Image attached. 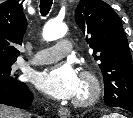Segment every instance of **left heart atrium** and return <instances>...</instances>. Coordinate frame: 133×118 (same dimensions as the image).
Returning <instances> with one entry per match:
<instances>
[{
    "label": "left heart atrium",
    "mask_w": 133,
    "mask_h": 118,
    "mask_svg": "<svg viewBox=\"0 0 133 118\" xmlns=\"http://www.w3.org/2000/svg\"><path fill=\"white\" fill-rule=\"evenodd\" d=\"M36 84L55 99H71L77 96L81 80L72 66L63 64L40 73Z\"/></svg>",
    "instance_id": "39dd6f15"
}]
</instances>
